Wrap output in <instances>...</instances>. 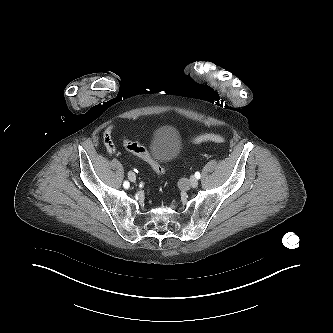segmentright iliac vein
<instances>
[{
	"label": "right iliac vein",
	"instance_id": "63e3f726",
	"mask_svg": "<svg viewBox=\"0 0 333 333\" xmlns=\"http://www.w3.org/2000/svg\"><path fill=\"white\" fill-rule=\"evenodd\" d=\"M128 178H129L130 181L135 182L136 181V175H135V173L133 171H130L128 173Z\"/></svg>",
	"mask_w": 333,
	"mask_h": 333
}]
</instances>
